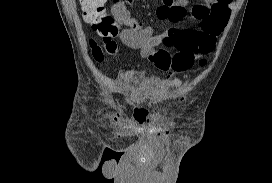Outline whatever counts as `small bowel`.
<instances>
[{
	"label": "small bowel",
	"mask_w": 272,
	"mask_h": 183,
	"mask_svg": "<svg viewBox=\"0 0 272 183\" xmlns=\"http://www.w3.org/2000/svg\"><path fill=\"white\" fill-rule=\"evenodd\" d=\"M187 4V0H161L157 16L168 26L159 35H154L150 25L128 13L124 19L125 28L116 35L124 45L145 58H150L157 48L163 47L171 55L173 70H187L214 48L229 20L233 0H203L194 5L189 11L193 24H185ZM145 118L140 111H134L131 116V120L139 124H143ZM112 119L121 121L124 116L116 112Z\"/></svg>",
	"instance_id": "obj_1"
}]
</instances>
